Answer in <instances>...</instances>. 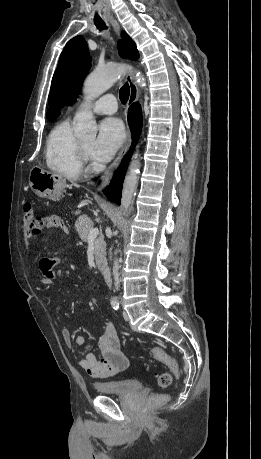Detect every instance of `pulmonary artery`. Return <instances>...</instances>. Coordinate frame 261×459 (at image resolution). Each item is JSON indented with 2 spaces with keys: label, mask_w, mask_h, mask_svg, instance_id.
<instances>
[{
  "label": "pulmonary artery",
  "mask_w": 261,
  "mask_h": 459,
  "mask_svg": "<svg viewBox=\"0 0 261 459\" xmlns=\"http://www.w3.org/2000/svg\"><path fill=\"white\" fill-rule=\"evenodd\" d=\"M97 114H113L117 110V100L113 94H106L98 98L91 106Z\"/></svg>",
  "instance_id": "1"
}]
</instances>
